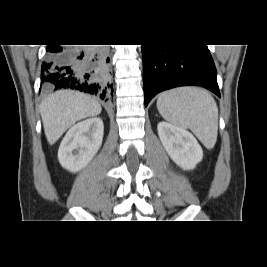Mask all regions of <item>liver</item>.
Here are the masks:
<instances>
[{
    "label": "liver",
    "instance_id": "6515ba94",
    "mask_svg": "<svg viewBox=\"0 0 267 267\" xmlns=\"http://www.w3.org/2000/svg\"><path fill=\"white\" fill-rule=\"evenodd\" d=\"M101 105L80 92L63 90L47 96L40 105L44 132L53 145L76 122L101 113Z\"/></svg>",
    "mask_w": 267,
    "mask_h": 267
}]
</instances>
